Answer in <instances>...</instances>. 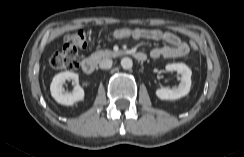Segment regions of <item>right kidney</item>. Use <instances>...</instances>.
Instances as JSON below:
<instances>
[{
    "mask_svg": "<svg viewBox=\"0 0 244 157\" xmlns=\"http://www.w3.org/2000/svg\"><path fill=\"white\" fill-rule=\"evenodd\" d=\"M78 78V74L69 71L61 72L54 76L50 85L52 97L59 104L66 106H72L75 103L82 101L85 93L84 90L78 85ZM66 80H72L76 84L72 93H65L62 88V85Z\"/></svg>",
    "mask_w": 244,
    "mask_h": 157,
    "instance_id": "obj_1",
    "label": "right kidney"
}]
</instances>
